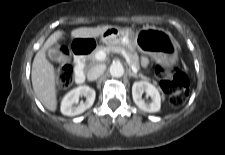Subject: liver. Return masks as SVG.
<instances>
[{"label":"liver","instance_id":"liver-1","mask_svg":"<svg viewBox=\"0 0 225 155\" xmlns=\"http://www.w3.org/2000/svg\"><path fill=\"white\" fill-rule=\"evenodd\" d=\"M110 28L112 26L78 28L72 30L71 36L74 38H96ZM64 35L63 31L54 32L36 53L32 64L31 80L34 92L43 106L53 112L57 109L56 74L54 66L46 59L45 53Z\"/></svg>","mask_w":225,"mask_h":155}]
</instances>
